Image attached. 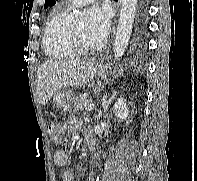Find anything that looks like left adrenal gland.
I'll return each instance as SVG.
<instances>
[{
  "instance_id": "obj_1",
  "label": "left adrenal gland",
  "mask_w": 197,
  "mask_h": 181,
  "mask_svg": "<svg viewBox=\"0 0 197 181\" xmlns=\"http://www.w3.org/2000/svg\"><path fill=\"white\" fill-rule=\"evenodd\" d=\"M116 93L117 92L114 91L109 99H108L107 94L104 95L103 102H102V111L104 113H106V111L108 110V106L111 104L112 100L115 98ZM102 111H100L99 116H101Z\"/></svg>"
}]
</instances>
